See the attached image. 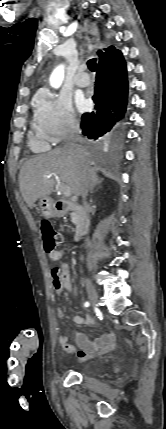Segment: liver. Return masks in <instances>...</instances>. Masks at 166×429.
I'll return each mask as SVG.
<instances>
[{
  "instance_id": "liver-1",
  "label": "liver",
  "mask_w": 166,
  "mask_h": 429,
  "mask_svg": "<svg viewBox=\"0 0 166 429\" xmlns=\"http://www.w3.org/2000/svg\"><path fill=\"white\" fill-rule=\"evenodd\" d=\"M84 152L85 158L81 160L63 147L27 160L20 169L19 187L28 207L32 208L38 199L52 193L55 177L68 185L72 194L81 195L83 168L92 163L90 153L85 148Z\"/></svg>"
}]
</instances>
